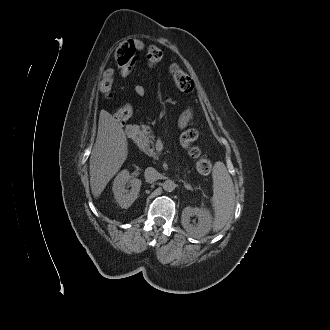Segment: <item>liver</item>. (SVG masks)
Listing matches in <instances>:
<instances>
[{
    "label": "liver",
    "instance_id": "1",
    "mask_svg": "<svg viewBox=\"0 0 330 330\" xmlns=\"http://www.w3.org/2000/svg\"><path fill=\"white\" fill-rule=\"evenodd\" d=\"M124 130L107 111L99 116L96 142L90 156V187L95 198L99 197L107 183L125 162L128 150Z\"/></svg>",
    "mask_w": 330,
    "mask_h": 330
}]
</instances>
